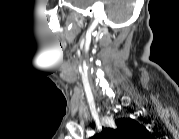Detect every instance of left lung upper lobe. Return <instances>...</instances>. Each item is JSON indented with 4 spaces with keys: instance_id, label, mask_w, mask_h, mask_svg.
<instances>
[{
    "instance_id": "5c2ea615",
    "label": "left lung upper lobe",
    "mask_w": 179,
    "mask_h": 139,
    "mask_svg": "<svg viewBox=\"0 0 179 139\" xmlns=\"http://www.w3.org/2000/svg\"><path fill=\"white\" fill-rule=\"evenodd\" d=\"M117 129H104L96 139H142L148 131L133 119H118L115 121Z\"/></svg>"
}]
</instances>
